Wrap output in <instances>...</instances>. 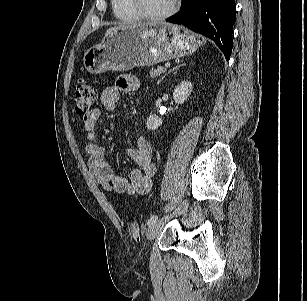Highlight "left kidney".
<instances>
[{
    "label": "left kidney",
    "mask_w": 307,
    "mask_h": 301,
    "mask_svg": "<svg viewBox=\"0 0 307 301\" xmlns=\"http://www.w3.org/2000/svg\"><path fill=\"white\" fill-rule=\"evenodd\" d=\"M192 92V83L190 81H182L173 92V99L179 105L183 104L189 95ZM162 125V119L156 116L155 114H151L147 121L146 126L149 130H156L159 126Z\"/></svg>",
    "instance_id": "obj_1"
}]
</instances>
